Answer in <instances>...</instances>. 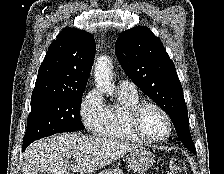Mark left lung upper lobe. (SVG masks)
<instances>
[{
	"mask_svg": "<svg viewBox=\"0 0 224 174\" xmlns=\"http://www.w3.org/2000/svg\"><path fill=\"white\" fill-rule=\"evenodd\" d=\"M115 51L125 73L169 115L179 140L196 153L182 86L161 41L148 28L135 27L119 35Z\"/></svg>",
	"mask_w": 224,
	"mask_h": 174,
	"instance_id": "1",
	"label": "left lung upper lobe"
}]
</instances>
